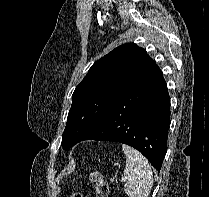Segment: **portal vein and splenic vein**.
<instances>
[{
	"label": "portal vein and splenic vein",
	"mask_w": 209,
	"mask_h": 197,
	"mask_svg": "<svg viewBox=\"0 0 209 197\" xmlns=\"http://www.w3.org/2000/svg\"><path fill=\"white\" fill-rule=\"evenodd\" d=\"M122 181H125V177H122Z\"/></svg>",
	"instance_id": "1"
}]
</instances>
